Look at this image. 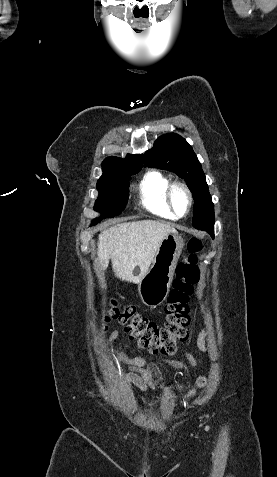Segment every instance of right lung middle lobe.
<instances>
[{
    "label": "right lung middle lobe",
    "mask_w": 277,
    "mask_h": 477,
    "mask_svg": "<svg viewBox=\"0 0 277 477\" xmlns=\"http://www.w3.org/2000/svg\"><path fill=\"white\" fill-rule=\"evenodd\" d=\"M140 169H114L103 171V175L97 182L99 191L94 209L104 213L102 218H110L119 215L125 208L129 192L128 181L131 175L139 172ZM100 221L94 220L93 225Z\"/></svg>",
    "instance_id": "right-lung-middle-lobe-1"
}]
</instances>
